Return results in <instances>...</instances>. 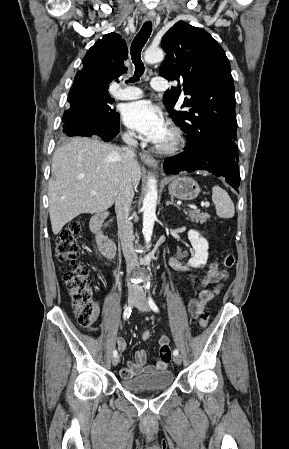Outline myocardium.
<instances>
[{"instance_id": "obj_1", "label": "myocardium", "mask_w": 289, "mask_h": 449, "mask_svg": "<svg viewBox=\"0 0 289 449\" xmlns=\"http://www.w3.org/2000/svg\"><path fill=\"white\" fill-rule=\"evenodd\" d=\"M184 143L182 131L176 126L167 128V140L156 145L155 149L161 154H174L181 149Z\"/></svg>"}]
</instances>
